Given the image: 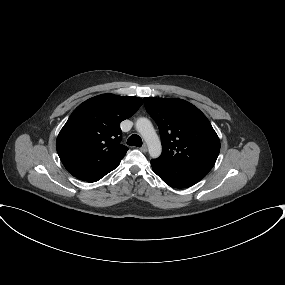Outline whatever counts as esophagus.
<instances>
[{"mask_svg":"<svg viewBox=\"0 0 285 285\" xmlns=\"http://www.w3.org/2000/svg\"><path fill=\"white\" fill-rule=\"evenodd\" d=\"M140 150L142 151V152H147V150H148V148H147V145L146 144H144L141 148H140Z\"/></svg>","mask_w":285,"mask_h":285,"instance_id":"1","label":"esophagus"}]
</instances>
